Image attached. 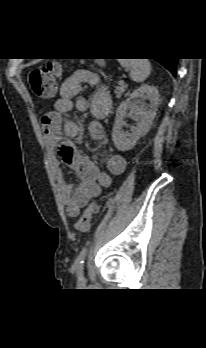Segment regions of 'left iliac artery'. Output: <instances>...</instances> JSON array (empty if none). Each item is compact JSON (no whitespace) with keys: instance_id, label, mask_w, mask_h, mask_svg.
Listing matches in <instances>:
<instances>
[{"instance_id":"44dca946","label":"left iliac artery","mask_w":206,"mask_h":348,"mask_svg":"<svg viewBox=\"0 0 206 348\" xmlns=\"http://www.w3.org/2000/svg\"><path fill=\"white\" fill-rule=\"evenodd\" d=\"M109 204H111V201H108V203H106L105 209H108ZM103 213H106V210H103ZM88 249L84 248L80 254L78 255L76 262H75V268L77 269V272L79 275H82L83 273V266H84V262H85V258L87 255Z\"/></svg>"}]
</instances>
